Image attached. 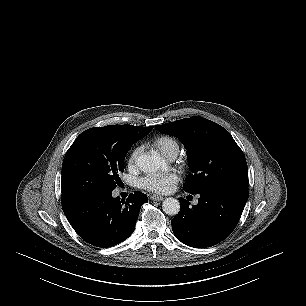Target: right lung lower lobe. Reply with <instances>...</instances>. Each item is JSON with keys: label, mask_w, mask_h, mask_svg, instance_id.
<instances>
[{"label": "right lung lower lobe", "mask_w": 306, "mask_h": 306, "mask_svg": "<svg viewBox=\"0 0 306 306\" xmlns=\"http://www.w3.org/2000/svg\"><path fill=\"white\" fill-rule=\"evenodd\" d=\"M147 201V196L139 191L130 194L126 200L113 198L112 192H106L62 204V208L83 240L106 248L126 240L132 234L140 208Z\"/></svg>", "instance_id": "right-lung-lower-lobe-1"}]
</instances>
